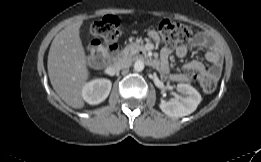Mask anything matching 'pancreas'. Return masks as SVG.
<instances>
[{"mask_svg":"<svg viewBox=\"0 0 261 162\" xmlns=\"http://www.w3.org/2000/svg\"><path fill=\"white\" fill-rule=\"evenodd\" d=\"M142 52L146 54V50L143 45L133 42L128 44L121 52V57L133 58L137 53Z\"/></svg>","mask_w":261,"mask_h":162,"instance_id":"pancreas-1","label":"pancreas"}]
</instances>
